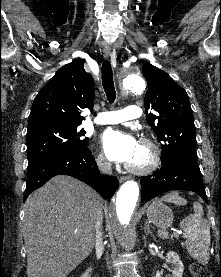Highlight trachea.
Listing matches in <instances>:
<instances>
[{
    "label": "trachea",
    "instance_id": "trachea-1",
    "mask_svg": "<svg viewBox=\"0 0 221 277\" xmlns=\"http://www.w3.org/2000/svg\"><path fill=\"white\" fill-rule=\"evenodd\" d=\"M102 85L108 101L113 103L116 99V91L113 82L112 68L109 61H104L102 64Z\"/></svg>",
    "mask_w": 221,
    "mask_h": 277
}]
</instances>
